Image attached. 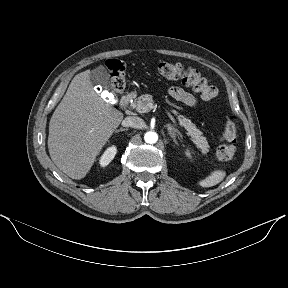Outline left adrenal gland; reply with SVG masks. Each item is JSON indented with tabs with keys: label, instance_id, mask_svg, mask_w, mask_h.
I'll use <instances>...</instances> for the list:
<instances>
[{
	"label": "left adrenal gland",
	"instance_id": "a2214340",
	"mask_svg": "<svg viewBox=\"0 0 288 288\" xmlns=\"http://www.w3.org/2000/svg\"><path fill=\"white\" fill-rule=\"evenodd\" d=\"M166 127H167V129H168L169 134H170L171 137L173 138L174 142L177 143V141H176V136H180V137H181V134H180V132L178 131V129L175 128L174 126H172L171 124H166Z\"/></svg>",
	"mask_w": 288,
	"mask_h": 288
}]
</instances>
